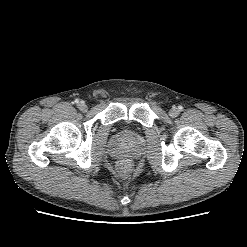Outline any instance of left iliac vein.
<instances>
[{
	"instance_id": "1",
	"label": "left iliac vein",
	"mask_w": 247,
	"mask_h": 247,
	"mask_svg": "<svg viewBox=\"0 0 247 247\" xmlns=\"http://www.w3.org/2000/svg\"><path fill=\"white\" fill-rule=\"evenodd\" d=\"M179 114V111L177 108H172L170 111H169V115L171 117H176L177 115Z\"/></svg>"
}]
</instances>
